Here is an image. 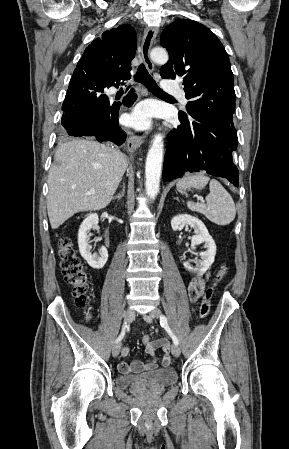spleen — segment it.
<instances>
[{"label":"spleen","mask_w":289,"mask_h":449,"mask_svg":"<svg viewBox=\"0 0 289 449\" xmlns=\"http://www.w3.org/2000/svg\"><path fill=\"white\" fill-rule=\"evenodd\" d=\"M209 183L210 193L206 196V204L187 202L191 211L203 214L211 222L225 226L230 224L236 215L234 201L227 190L215 179L204 173L188 174L177 183V188L193 187L198 190L205 188Z\"/></svg>","instance_id":"3e777b00"}]
</instances>
